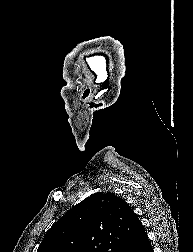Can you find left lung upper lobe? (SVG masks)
Returning <instances> with one entry per match:
<instances>
[{"label": "left lung upper lobe", "mask_w": 193, "mask_h": 252, "mask_svg": "<svg viewBox=\"0 0 193 252\" xmlns=\"http://www.w3.org/2000/svg\"><path fill=\"white\" fill-rule=\"evenodd\" d=\"M139 223L122 198L98 192L53 224L37 252H123Z\"/></svg>", "instance_id": "left-lung-upper-lobe-1"}]
</instances>
